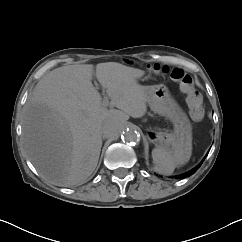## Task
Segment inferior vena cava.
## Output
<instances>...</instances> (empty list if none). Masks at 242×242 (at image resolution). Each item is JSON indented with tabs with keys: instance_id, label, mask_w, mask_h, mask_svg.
<instances>
[{
	"instance_id": "inferior-vena-cava-1",
	"label": "inferior vena cava",
	"mask_w": 242,
	"mask_h": 242,
	"mask_svg": "<svg viewBox=\"0 0 242 242\" xmlns=\"http://www.w3.org/2000/svg\"><path fill=\"white\" fill-rule=\"evenodd\" d=\"M120 132V123L114 118H109L98 131V136L102 140H115Z\"/></svg>"
}]
</instances>
